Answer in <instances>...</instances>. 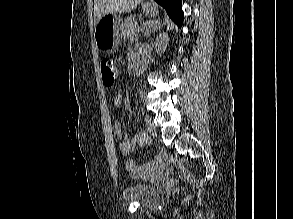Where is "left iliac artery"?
Listing matches in <instances>:
<instances>
[{
    "label": "left iliac artery",
    "mask_w": 293,
    "mask_h": 219,
    "mask_svg": "<svg viewBox=\"0 0 293 219\" xmlns=\"http://www.w3.org/2000/svg\"><path fill=\"white\" fill-rule=\"evenodd\" d=\"M139 96H140L141 100L144 101V94L142 91H139Z\"/></svg>",
    "instance_id": "1"
}]
</instances>
